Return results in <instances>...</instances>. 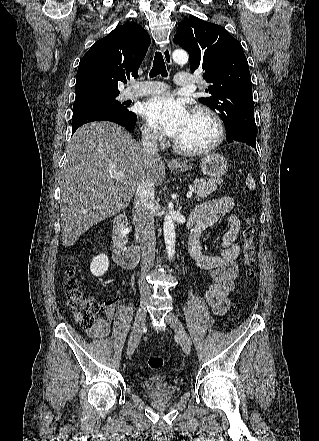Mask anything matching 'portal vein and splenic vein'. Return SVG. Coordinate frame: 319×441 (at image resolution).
Wrapping results in <instances>:
<instances>
[{
	"mask_svg": "<svg viewBox=\"0 0 319 441\" xmlns=\"http://www.w3.org/2000/svg\"><path fill=\"white\" fill-rule=\"evenodd\" d=\"M113 175H114V177L116 178V179H118V180H120V179H122L125 175H124V173L123 172H120V171H114L113 172ZM193 189H191L189 192H187V194H186V197L187 198H191V196H192V194H193Z\"/></svg>",
	"mask_w": 319,
	"mask_h": 441,
	"instance_id": "18ae733b",
	"label": "portal vein and splenic vein"
}]
</instances>
